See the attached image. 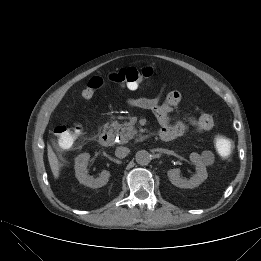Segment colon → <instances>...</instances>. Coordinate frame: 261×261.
<instances>
[{
    "instance_id": "5ec220e1",
    "label": "colon",
    "mask_w": 261,
    "mask_h": 261,
    "mask_svg": "<svg viewBox=\"0 0 261 261\" xmlns=\"http://www.w3.org/2000/svg\"><path fill=\"white\" fill-rule=\"evenodd\" d=\"M153 74L154 71L151 68L138 69L127 67L110 73L108 80L121 85H139L151 78ZM104 82L105 79L103 77H92L83 89L82 96L85 99L92 98L95 92L103 86ZM82 130L81 125H61L54 129V133L61 148H70L82 134ZM214 145L217 153L224 158L231 156L234 150L233 141L221 134L215 136Z\"/></svg>"
}]
</instances>
